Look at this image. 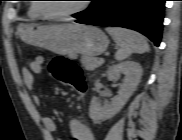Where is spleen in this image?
<instances>
[{
	"label": "spleen",
	"instance_id": "obj_1",
	"mask_svg": "<svg viewBox=\"0 0 182 140\" xmlns=\"http://www.w3.org/2000/svg\"><path fill=\"white\" fill-rule=\"evenodd\" d=\"M106 31L119 47L115 54L118 61L127 59L132 53L141 54L149 51L146 39L135 31L119 27H108Z\"/></svg>",
	"mask_w": 182,
	"mask_h": 140
}]
</instances>
